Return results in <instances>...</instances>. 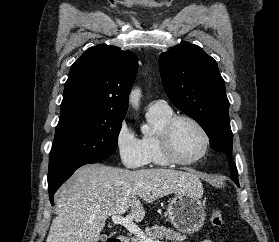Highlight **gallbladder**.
I'll return each mask as SVG.
<instances>
[{
    "label": "gallbladder",
    "instance_id": "obj_1",
    "mask_svg": "<svg viewBox=\"0 0 279 242\" xmlns=\"http://www.w3.org/2000/svg\"><path fill=\"white\" fill-rule=\"evenodd\" d=\"M101 239H102V240L107 239V235H103V236L101 237Z\"/></svg>",
    "mask_w": 279,
    "mask_h": 242
}]
</instances>
